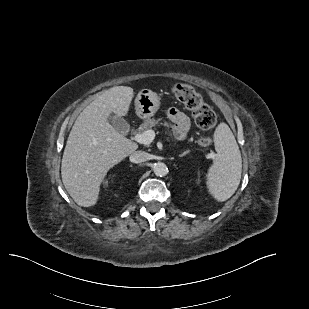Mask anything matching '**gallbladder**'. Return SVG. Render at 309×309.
<instances>
[{"mask_svg": "<svg viewBox=\"0 0 309 309\" xmlns=\"http://www.w3.org/2000/svg\"><path fill=\"white\" fill-rule=\"evenodd\" d=\"M108 121L119 131L126 132L129 129V124L121 117L117 115H110Z\"/></svg>", "mask_w": 309, "mask_h": 309, "instance_id": "obj_1", "label": "gallbladder"}]
</instances>
